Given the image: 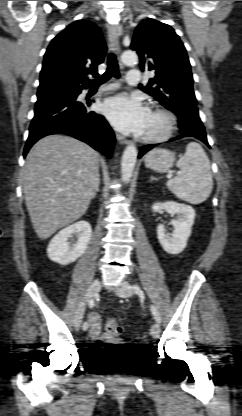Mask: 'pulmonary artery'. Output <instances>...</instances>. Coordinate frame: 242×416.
<instances>
[{"instance_id": "pulmonary-artery-1", "label": "pulmonary artery", "mask_w": 242, "mask_h": 416, "mask_svg": "<svg viewBox=\"0 0 242 416\" xmlns=\"http://www.w3.org/2000/svg\"><path fill=\"white\" fill-rule=\"evenodd\" d=\"M141 79V70L139 69H131L128 71L126 81L129 85H137L139 84ZM115 87H106L101 89V91H111L114 90Z\"/></svg>"}]
</instances>
